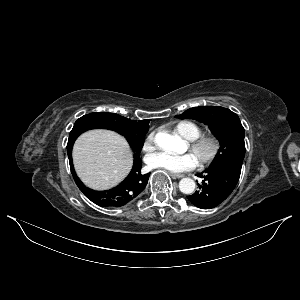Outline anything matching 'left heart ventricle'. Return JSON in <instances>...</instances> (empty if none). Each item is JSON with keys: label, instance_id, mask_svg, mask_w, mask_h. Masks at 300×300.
Returning <instances> with one entry per match:
<instances>
[{"label": "left heart ventricle", "instance_id": "1", "mask_svg": "<svg viewBox=\"0 0 300 300\" xmlns=\"http://www.w3.org/2000/svg\"><path fill=\"white\" fill-rule=\"evenodd\" d=\"M208 152V147H204L198 151H192V153L194 154V156L196 157L197 160H199L200 158H202L203 156H205Z\"/></svg>", "mask_w": 300, "mask_h": 300}]
</instances>
